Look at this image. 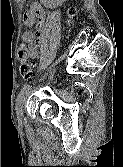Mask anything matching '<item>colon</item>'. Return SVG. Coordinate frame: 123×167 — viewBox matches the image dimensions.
<instances>
[{
    "instance_id": "5ec220e1",
    "label": "colon",
    "mask_w": 123,
    "mask_h": 167,
    "mask_svg": "<svg viewBox=\"0 0 123 167\" xmlns=\"http://www.w3.org/2000/svg\"><path fill=\"white\" fill-rule=\"evenodd\" d=\"M75 12V9L71 8L68 14L70 17H73L75 15ZM18 58L22 62L20 67L21 76L26 80L32 78L34 75V71L31 62L29 61V50L26 45L19 46ZM75 91L79 93L82 91V89L80 87H77Z\"/></svg>"
}]
</instances>
